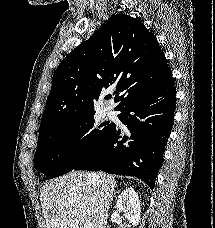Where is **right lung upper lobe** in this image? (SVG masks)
Masks as SVG:
<instances>
[{
    "label": "right lung upper lobe",
    "mask_w": 215,
    "mask_h": 228,
    "mask_svg": "<svg viewBox=\"0 0 215 228\" xmlns=\"http://www.w3.org/2000/svg\"><path fill=\"white\" fill-rule=\"evenodd\" d=\"M171 75L156 37L136 18L114 15L54 72L40 128L95 114L94 102L109 85L116 86L118 110L140 83Z\"/></svg>",
    "instance_id": "obj_1"
}]
</instances>
